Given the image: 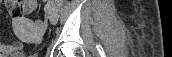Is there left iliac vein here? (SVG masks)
Returning <instances> with one entry per match:
<instances>
[{
	"label": "left iliac vein",
	"mask_w": 172,
	"mask_h": 57,
	"mask_svg": "<svg viewBox=\"0 0 172 57\" xmlns=\"http://www.w3.org/2000/svg\"><path fill=\"white\" fill-rule=\"evenodd\" d=\"M46 9H47V14H48L50 22L52 24H56V22L58 20V10H57L55 4L49 0L47 2Z\"/></svg>",
	"instance_id": "1"
}]
</instances>
